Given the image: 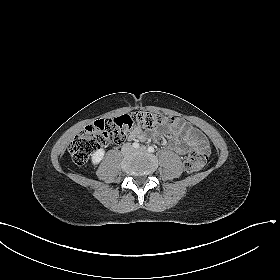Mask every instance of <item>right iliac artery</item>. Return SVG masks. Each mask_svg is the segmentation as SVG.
Segmentation results:
<instances>
[{
    "label": "right iliac artery",
    "instance_id": "obj_1",
    "mask_svg": "<svg viewBox=\"0 0 280 280\" xmlns=\"http://www.w3.org/2000/svg\"><path fill=\"white\" fill-rule=\"evenodd\" d=\"M133 148L138 149L139 148V143L138 142H134L132 144Z\"/></svg>",
    "mask_w": 280,
    "mask_h": 280
}]
</instances>
